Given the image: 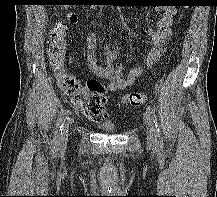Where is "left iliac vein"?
Listing matches in <instances>:
<instances>
[{
    "label": "left iliac vein",
    "mask_w": 217,
    "mask_h": 197,
    "mask_svg": "<svg viewBox=\"0 0 217 197\" xmlns=\"http://www.w3.org/2000/svg\"><path fill=\"white\" fill-rule=\"evenodd\" d=\"M144 121L146 125V130H147L146 133H147L148 143L155 144L156 135H155L154 125H153L151 117L148 115L147 112L144 114Z\"/></svg>",
    "instance_id": "obj_1"
}]
</instances>
